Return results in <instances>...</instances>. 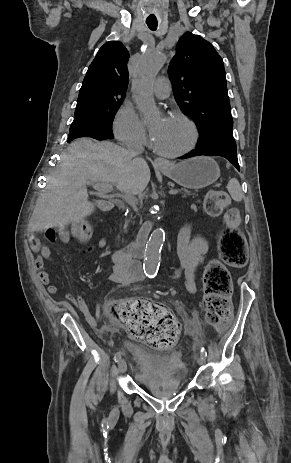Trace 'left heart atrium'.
I'll return each instance as SVG.
<instances>
[{
    "label": "left heart atrium",
    "mask_w": 291,
    "mask_h": 463,
    "mask_svg": "<svg viewBox=\"0 0 291 463\" xmlns=\"http://www.w3.org/2000/svg\"><path fill=\"white\" fill-rule=\"evenodd\" d=\"M170 120H171L170 117H163L161 120H159L157 123H155L151 127L150 134L154 142L157 140V138L162 134V132L168 126Z\"/></svg>",
    "instance_id": "39dd6f15"
}]
</instances>
